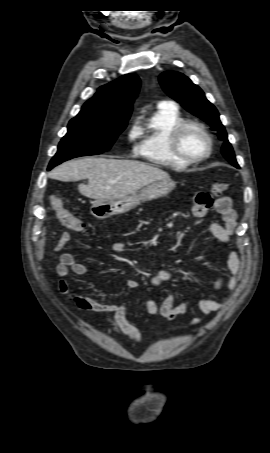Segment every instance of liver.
<instances>
[{"instance_id": "obj_1", "label": "liver", "mask_w": 270, "mask_h": 453, "mask_svg": "<svg viewBox=\"0 0 270 453\" xmlns=\"http://www.w3.org/2000/svg\"><path fill=\"white\" fill-rule=\"evenodd\" d=\"M51 179L69 182L88 179L80 184V193L91 199L123 198L169 174L157 167L135 160L86 157L70 160L54 168Z\"/></svg>"}]
</instances>
